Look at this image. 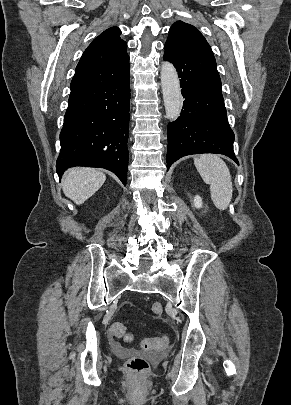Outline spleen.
I'll return each instance as SVG.
<instances>
[{"label": "spleen", "mask_w": 291, "mask_h": 405, "mask_svg": "<svg viewBox=\"0 0 291 405\" xmlns=\"http://www.w3.org/2000/svg\"><path fill=\"white\" fill-rule=\"evenodd\" d=\"M194 164L204 182L210 185L211 199L216 208L227 209L233 185L226 163L217 155L204 154L195 158Z\"/></svg>", "instance_id": "obj_1"}]
</instances>
